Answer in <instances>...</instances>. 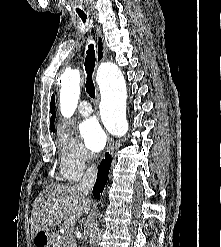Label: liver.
<instances>
[{
	"label": "liver",
	"mask_w": 221,
	"mask_h": 247,
	"mask_svg": "<svg viewBox=\"0 0 221 247\" xmlns=\"http://www.w3.org/2000/svg\"><path fill=\"white\" fill-rule=\"evenodd\" d=\"M91 200L74 186H47L36 198L30 221L32 237L41 230H50L61 222L73 229Z\"/></svg>",
	"instance_id": "liver-1"
}]
</instances>
